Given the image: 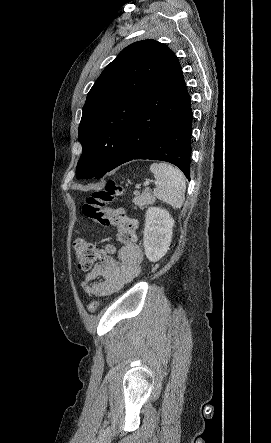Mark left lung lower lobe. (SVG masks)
<instances>
[{"label": "left lung lower lobe", "mask_w": 271, "mask_h": 443, "mask_svg": "<svg viewBox=\"0 0 271 443\" xmlns=\"http://www.w3.org/2000/svg\"><path fill=\"white\" fill-rule=\"evenodd\" d=\"M136 110L109 169L133 159L170 162L190 180L193 113L182 69L174 56Z\"/></svg>", "instance_id": "obj_1"}]
</instances>
